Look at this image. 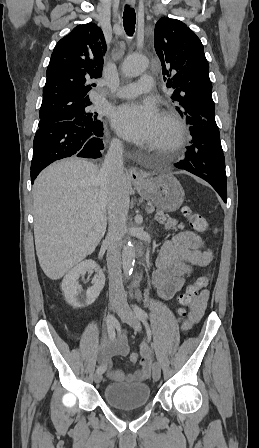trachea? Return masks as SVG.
I'll return each mask as SVG.
<instances>
[{
    "label": "trachea",
    "mask_w": 259,
    "mask_h": 448,
    "mask_svg": "<svg viewBox=\"0 0 259 448\" xmlns=\"http://www.w3.org/2000/svg\"><path fill=\"white\" fill-rule=\"evenodd\" d=\"M135 22H136L135 10L129 7V5H126L123 15V25L127 35L129 36L133 35L135 30Z\"/></svg>",
    "instance_id": "trachea-1"
}]
</instances>
